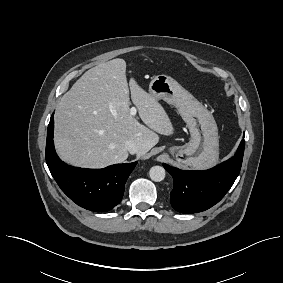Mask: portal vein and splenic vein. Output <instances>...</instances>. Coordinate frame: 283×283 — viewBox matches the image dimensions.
<instances>
[{
    "mask_svg": "<svg viewBox=\"0 0 283 283\" xmlns=\"http://www.w3.org/2000/svg\"><path fill=\"white\" fill-rule=\"evenodd\" d=\"M136 113H137L136 107H132V108L130 109V114H131L132 116H135Z\"/></svg>",
    "mask_w": 283,
    "mask_h": 283,
    "instance_id": "18ae733b",
    "label": "portal vein and splenic vein"
}]
</instances>
